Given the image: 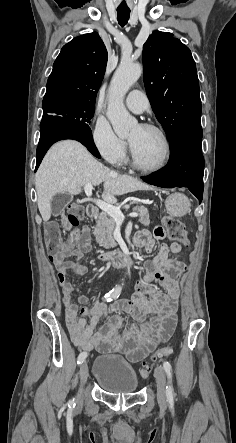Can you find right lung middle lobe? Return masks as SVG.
Returning <instances> with one entry per match:
<instances>
[{"mask_svg": "<svg viewBox=\"0 0 236 443\" xmlns=\"http://www.w3.org/2000/svg\"><path fill=\"white\" fill-rule=\"evenodd\" d=\"M43 117L56 115L69 119L72 123L91 131L89 122L94 115L95 103L75 98L56 97L42 102Z\"/></svg>", "mask_w": 236, "mask_h": 443, "instance_id": "dd1d6c3e", "label": "right lung middle lobe"}]
</instances>
